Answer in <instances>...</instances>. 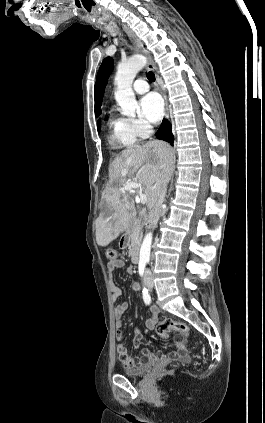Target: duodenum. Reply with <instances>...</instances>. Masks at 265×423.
I'll return each mask as SVG.
<instances>
[{"label":"duodenum","mask_w":265,"mask_h":423,"mask_svg":"<svg viewBox=\"0 0 265 423\" xmlns=\"http://www.w3.org/2000/svg\"><path fill=\"white\" fill-rule=\"evenodd\" d=\"M130 254H131V259L134 263H138L140 260V256H139V245L136 241H132L131 243V250H130Z\"/></svg>","instance_id":"1"}]
</instances>
